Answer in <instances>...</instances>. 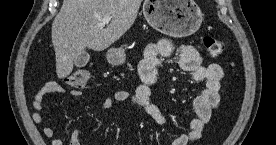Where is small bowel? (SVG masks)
Wrapping results in <instances>:
<instances>
[{"label": "small bowel", "mask_w": 276, "mask_h": 145, "mask_svg": "<svg viewBox=\"0 0 276 145\" xmlns=\"http://www.w3.org/2000/svg\"><path fill=\"white\" fill-rule=\"evenodd\" d=\"M175 53L178 54L179 67L183 71L188 72L195 81L202 82L204 85L202 92L195 96L192 102L196 117L190 122V130L181 133L172 142V145H187L201 137L213 110L218 107L220 103V81L224 74L222 67L217 63L202 65L199 52L191 45H175L168 39L149 43L145 47L142 60L138 64L141 84L133 93L127 90L115 91L103 101V108H110L117 102L130 101L142 112L149 115L158 125H164L166 122L165 117L158 106L151 102L150 90L151 86L156 82L160 57H169ZM67 92L68 90L65 87L54 81L43 85L33 98V122L39 124L44 119L43 98L45 95L64 94ZM69 93L74 97L82 95V92L78 89H72ZM43 134L50 140L51 145H80V130L78 129L71 131L68 143L55 137V129L51 126L45 127Z\"/></svg>", "instance_id": "obj_1"}]
</instances>
